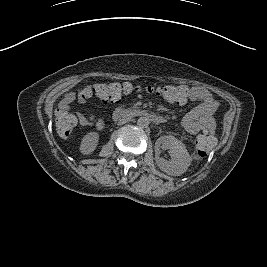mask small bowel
Listing matches in <instances>:
<instances>
[{"instance_id": "small-bowel-1", "label": "small bowel", "mask_w": 267, "mask_h": 267, "mask_svg": "<svg viewBox=\"0 0 267 267\" xmlns=\"http://www.w3.org/2000/svg\"><path fill=\"white\" fill-rule=\"evenodd\" d=\"M181 88L186 92V97L178 104H184L188 100L201 102L183 117L181 120L182 128L191 134H197L200 131L214 132L216 123L213 115L219 107V102L203 87L181 86ZM83 89L68 93L61 102V110H66L76 100L84 103L86 100L82 97ZM78 120L81 127L89 126L101 130L105 126L103 120L97 119L93 115L87 116L78 113Z\"/></svg>"}]
</instances>
